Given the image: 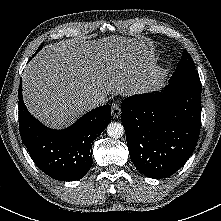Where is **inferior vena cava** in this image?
<instances>
[{"instance_id": "1", "label": "inferior vena cava", "mask_w": 221, "mask_h": 221, "mask_svg": "<svg viewBox=\"0 0 221 221\" xmlns=\"http://www.w3.org/2000/svg\"><path fill=\"white\" fill-rule=\"evenodd\" d=\"M105 102L104 99L98 97V96H94V97H91L87 100V103L90 107H97V106H100L102 105L103 103Z\"/></svg>"}]
</instances>
